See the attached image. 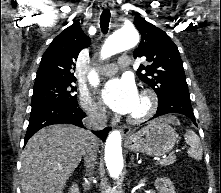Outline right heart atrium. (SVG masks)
Instances as JSON below:
<instances>
[{
	"instance_id": "obj_1",
	"label": "right heart atrium",
	"mask_w": 221,
	"mask_h": 193,
	"mask_svg": "<svg viewBox=\"0 0 221 193\" xmlns=\"http://www.w3.org/2000/svg\"><path fill=\"white\" fill-rule=\"evenodd\" d=\"M79 104L82 110L94 120H104L106 117V110L104 107L94 101L92 98H90L87 95H80L79 96Z\"/></svg>"
}]
</instances>
